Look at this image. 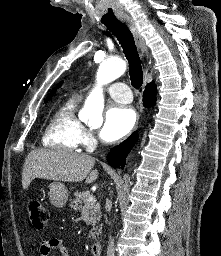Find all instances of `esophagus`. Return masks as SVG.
Here are the masks:
<instances>
[{
    "instance_id": "esophagus-1",
    "label": "esophagus",
    "mask_w": 221,
    "mask_h": 256,
    "mask_svg": "<svg viewBox=\"0 0 221 256\" xmlns=\"http://www.w3.org/2000/svg\"><path fill=\"white\" fill-rule=\"evenodd\" d=\"M121 21L127 25V27L130 29L131 33L133 34L134 40L136 42V45L140 52L144 55L147 52V48L145 45V41L143 37L141 36L135 22L130 16H123L121 18Z\"/></svg>"
}]
</instances>
